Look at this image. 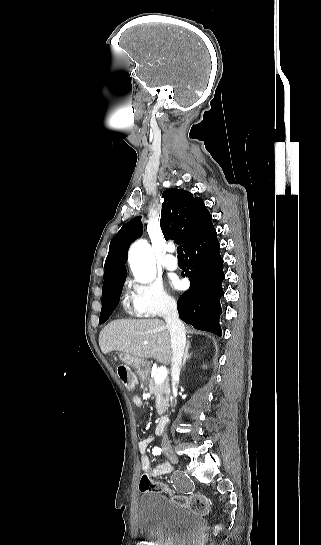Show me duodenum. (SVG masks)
Returning a JSON list of instances; mask_svg holds the SVG:
<instances>
[{
  "instance_id": "duodenum-1",
  "label": "duodenum",
  "mask_w": 321,
  "mask_h": 545,
  "mask_svg": "<svg viewBox=\"0 0 321 545\" xmlns=\"http://www.w3.org/2000/svg\"><path fill=\"white\" fill-rule=\"evenodd\" d=\"M168 422H169V418L166 417V416L161 417V418L159 419L158 424H157V427H156V434H157V435H162V434H164Z\"/></svg>"
}]
</instances>
